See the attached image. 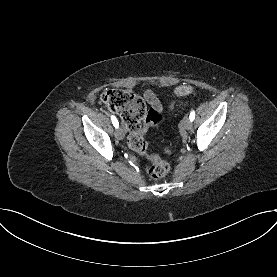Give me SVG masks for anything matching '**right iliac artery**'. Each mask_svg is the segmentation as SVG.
I'll return each instance as SVG.
<instances>
[{
    "mask_svg": "<svg viewBox=\"0 0 277 277\" xmlns=\"http://www.w3.org/2000/svg\"><path fill=\"white\" fill-rule=\"evenodd\" d=\"M111 120H112V123H113L114 127L118 128L119 123H118L116 117L115 116H111Z\"/></svg>",
    "mask_w": 277,
    "mask_h": 277,
    "instance_id": "82829eb1",
    "label": "right iliac artery"
}]
</instances>
